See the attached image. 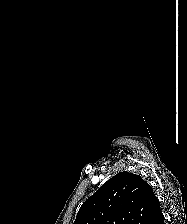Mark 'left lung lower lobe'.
<instances>
[{
    "mask_svg": "<svg viewBox=\"0 0 187 224\" xmlns=\"http://www.w3.org/2000/svg\"><path fill=\"white\" fill-rule=\"evenodd\" d=\"M151 224H164V216L162 211H160L158 216L151 222Z\"/></svg>",
    "mask_w": 187,
    "mask_h": 224,
    "instance_id": "left-lung-lower-lobe-1",
    "label": "left lung lower lobe"
}]
</instances>
